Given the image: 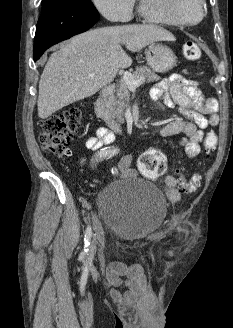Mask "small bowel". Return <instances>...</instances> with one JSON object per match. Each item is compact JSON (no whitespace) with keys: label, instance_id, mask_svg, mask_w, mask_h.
<instances>
[{"label":"small bowel","instance_id":"small-bowel-1","mask_svg":"<svg viewBox=\"0 0 233 328\" xmlns=\"http://www.w3.org/2000/svg\"><path fill=\"white\" fill-rule=\"evenodd\" d=\"M151 98L162 99L169 108H177L183 118L175 119L160 130V136L171 137L182 135L179 141L186 156L195 158L201 151L204 130L219 123L218 103L214 98H206L199 89L198 83L180 74H173L154 85ZM115 135L105 127H99L94 136L86 140V147L98 153L105 151L114 142ZM133 158L126 155L119 162L120 175L132 178L137 175L132 167ZM165 193L171 202L180 200L177 180L168 175L164 180ZM88 207V204L85 203ZM97 226V221L92 215ZM106 282L114 300L131 303L141 297L147 289V279L139 264L126 265L119 262L111 263L106 270ZM124 287V290L121 288Z\"/></svg>","mask_w":233,"mask_h":328}]
</instances>
